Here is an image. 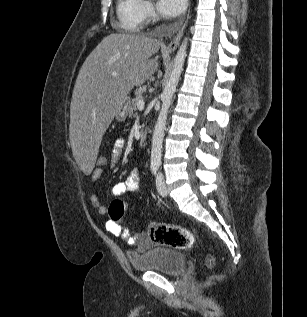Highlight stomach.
Listing matches in <instances>:
<instances>
[{
	"label": "stomach",
	"mask_w": 307,
	"mask_h": 317,
	"mask_svg": "<svg viewBox=\"0 0 307 317\" xmlns=\"http://www.w3.org/2000/svg\"><path fill=\"white\" fill-rule=\"evenodd\" d=\"M130 104L129 99L127 98L124 103L120 106V108L116 111L115 117L118 121L122 122L128 116V106Z\"/></svg>",
	"instance_id": "stomach-1"
}]
</instances>
